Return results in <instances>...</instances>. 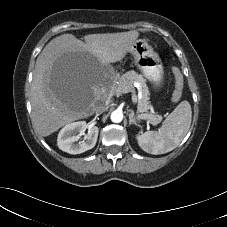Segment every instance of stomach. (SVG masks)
I'll return each instance as SVG.
<instances>
[{
	"mask_svg": "<svg viewBox=\"0 0 227 227\" xmlns=\"http://www.w3.org/2000/svg\"><path fill=\"white\" fill-rule=\"evenodd\" d=\"M129 52L134 57V65L155 88H160L164 80L163 65L159 55L149 43L145 39H138Z\"/></svg>",
	"mask_w": 227,
	"mask_h": 227,
	"instance_id": "obj_1",
	"label": "stomach"
}]
</instances>
